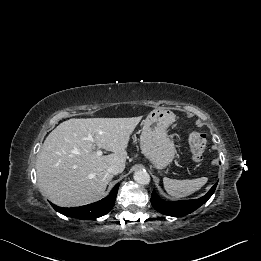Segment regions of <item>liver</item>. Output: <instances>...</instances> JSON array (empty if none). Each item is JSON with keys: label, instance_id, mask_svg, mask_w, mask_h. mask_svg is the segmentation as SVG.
<instances>
[{"label": "liver", "instance_id": "6515ba94", "mask_svg": "<svg viewBox=\"0 0 261 261\" xmlns=\"http://www.w3.org/2000/svg\"><path fill=\"white\" fill-rule=\"evenodd\" d=\"M142 119H69L45 139L38 154L36 172L40 192L62 207L90 204L103 197L112 175L111 165L125 168L130 135ZM91 134L95 142L87 140ZM94 146L111 151L98 156Z\"/></svg>", "mask_w": 261, "mask_h": 261}]
</instances>
